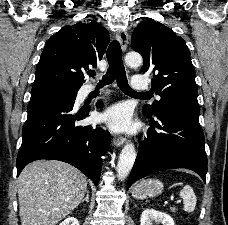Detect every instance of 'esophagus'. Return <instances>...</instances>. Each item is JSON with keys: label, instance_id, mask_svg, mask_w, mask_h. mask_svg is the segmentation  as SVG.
<instances>
[{"label": "esophagus", "instance_id": "obj_1", "mask_svg": "<svg viewBox=\"0 0 228 225\" xmlns=\"http://www.w3.org/2000/svg\"><path fill=\"white\" fill-rule=\"evenodd\" d=\"M116 37L120 43V47L122 51L125 52L129 44L128 33L126 31H120L117 33ZM125 141H126V138L122 135H117L113 138V144L116 147L122 146Z\"/></svg>", "mask_w": 228, "mask_h": 225}]
</instances>
